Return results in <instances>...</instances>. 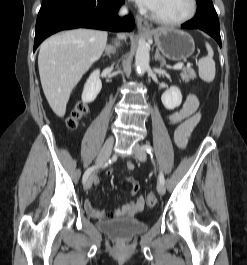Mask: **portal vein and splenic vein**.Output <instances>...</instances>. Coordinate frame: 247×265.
Masks as SVG:
<instances>
[{"mask_svg": "<svg viewBox=\"0 0 247 265\" xmlns=\"http://www.w3.org/2000/svg\"><path fill=\"white\" fill-rule=\"evenodd\" d=\"M182 67H183V64L182 63H178V64L174 65L173 68L176 69V70H179V69H182ZM187 67H190V63L187 64Z\"/></svg>", "mask_w": 247, "mask_h": 265, "instance_id": "18ae733b", "label": "portal vein and splenic vein"}]
</instances>
